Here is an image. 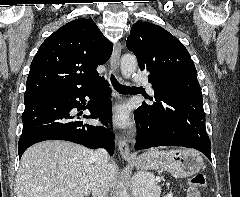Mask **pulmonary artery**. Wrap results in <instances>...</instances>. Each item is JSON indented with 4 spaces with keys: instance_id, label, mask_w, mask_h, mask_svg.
I'll return each mask as SVG.
<instances>
[{
    "instance_id": "pulmonary-artery-1",
    "label": "pulmonary artery",
    "mask_w": 240,
    "mask_h": 197,
    "mask_svg": "<svg viewBox=\"0 0 240 197\" xmlns=\"http://www.w3.org/2000/svg\"><path fill=\"white\" fill-rule=\"evenodd\" d=\"M138 76H139L138 73H135V74L133 75L134 81H135V82H140V83L144 84L146 90H147L149 93H153V89H152L151 84H150L147 80L138 81Z\"/></svg>"
}]
</instances>
